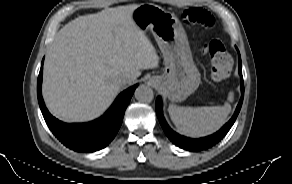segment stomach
Wrapping results in <instances>:
<instances>
[{
  "label": "stomach",
  "instance_id": "obj_1",
  "mask_svg": "<svg viewBox=\"0 0 292 184\" xmlns=\"http://www.w3.org/2000/svg\"><path fill=\"white\" fill-rule=\"evenodd\" d=\"M132 18L137 27L146 31L150 29L156 41L166 48L180 29L178 22L170 19L161 20L160 11L150 5H143L135 9ZM200 81L199 72L191 59L180 50L174 49L166 60V72L161 77L159 85L163 87L172 101L185 99Z\"/></svg>",
  "mask_w": 292,
  "mask_h": 184
}]
</instances>
